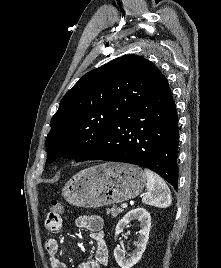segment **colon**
Segmentation results:
<instances>
[{"label":"colon","instance_id":"5ec220e1","mask_svg":"<svg viewBox=\"0 0 221 268\" xmlns=\"http://www.w3.org/2000/svg\"><path fill=\"white\" fill-rule=\"evenodd\" d=\"M63 211V205L58 200H53L50 206V213L52 215H60Z\"/></svg>","mask_w":221,"mask_h":268}]
</instances>
